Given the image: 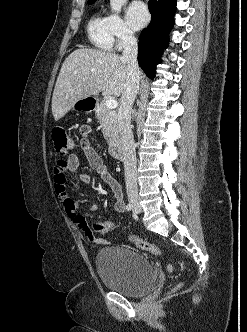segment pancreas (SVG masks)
Listing matches in <instances>:
<instances>
[{"label": "pancreas", "mask_w": 247, "mask_h": 332, "mask_svg": "<svg viewBox=\"0 0 247 332\" xmlns=\"http://www.w3.org/2000/svg\"><path fill=\"white\" fill-rule=\"evenodd\" d=\"M95 112L106 141L111 145L119 143V127L116 112L107 108L104 101L97 104Z\"/></svg>", "instance_id": "cf45deb5"}]
</instances>
